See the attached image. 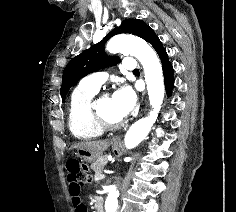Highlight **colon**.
<instances>
[{
  "instance_id": "colon-1",
  "label": "colon",
  "mask_w": 236,
  "mask_h": 212,
  "mask_svg": "<svg viewBox=\"0 0 236 212\" xmlns=\"http://www.w3.org/2000/svg\"><path fill=\"white\" fill-rule=\"evenodd\" d=\"M68 175H76L80 180L81 185H86L90 182V174L86 166L78 160L72 159L67 162Z\"/></svg>"
}]
</instances>
